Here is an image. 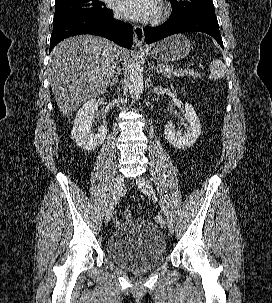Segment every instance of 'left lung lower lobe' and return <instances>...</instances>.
<instances>
[{
	"label": "left lung lower lobe",
	"instance_id": "left-lung-lower-lobe-1",
	"mask_svg": "<svg viewBox=\"0 0 272 303\" xmlns=\"http://www.w3.org/2000/svg\"><path fill=\"white\" fill-rule=\"evenodd\" d=\"M204 32L212 36L223 48L219 25L215 13L188 14L170 18L157 27H145V41L147 44L163 39L167 36L183 32Z\"/></svg>",
	"mask_w": 272,
	"mask_h": 303
}]
</instances>
